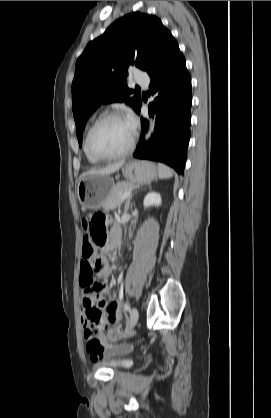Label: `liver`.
<instances>
[{
  "label": "liver",
  "instance_id": "6515ba94",
  "mask_svg": "<svg viewBox=\"0 0 271 418\" xmlns=\"http://www.w3.org/2000/svg\"><path fill=\"white\" fill-rule=\"evenodd\" d=\"M123 164H124V161H120V162L110 164V165H108L104 168L91 169L87 172H84L80 176V179L85 177V176H88V175H105V176H108V175L113 174L116 171H118L119 168H121Z\"/></svg>",
  "mask_w": 271,
  "mask_h": 418
}]
</instances>
